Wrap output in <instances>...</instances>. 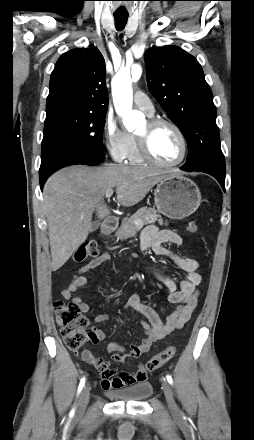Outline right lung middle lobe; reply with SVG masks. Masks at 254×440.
Returning <instances> with one entry per match:
<instances>
[{"instance_id":"1","label":"right lung middle lobe","mask_w":254,"mask_h":440,"mask_svg":"<svg viewBox=\"0 0 254 440\" xmlns=\"http://www.w3.org/2000/svg\"><path fill=\"white\" fill-rule=\"evenodd\" d=\"M39 178L72 165H96L105 159L102 135L106 112L59 106L46 110Z\"/></svg>"}]
</instances>
